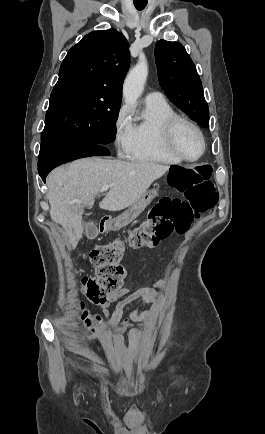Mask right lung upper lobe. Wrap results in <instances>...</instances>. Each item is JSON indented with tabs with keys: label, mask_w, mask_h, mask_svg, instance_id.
Segmentation results:
<instances>
[{
	"label": "right lung upper lobe",
	"mask_w": 265,
	"mask_h": 434,
	"mask_svg": "<svg viewBox=\"0 0 265 434\" xmlns=\"http://www.w3.org/2000/svg\"><path fill=\"white\" fill-rule=\"evenodd\" d=\"M129 65V45L120 32L114 29L93 31L69 50L57 83L88 81L122 95Z\"/></svg>",
	"instance_id": "obj_1"
}]
</instances>
